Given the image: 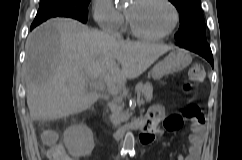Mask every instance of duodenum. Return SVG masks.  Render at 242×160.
Wrapping results in <instances>:
<instances>
[{
    "label": "duodenum",
    "mask_w": 242,
    "mask_h": 160,
    "mask_svg": "<svg viewBox=\"0 0 242 160\" xmlns=\"http://www.w3.org/2000/svg\"><path fill=\"white\" fill-rule=\"evenodd\" d=\"M147 119L144 117L137 118L135 120H132L127 126L122 127L117 132V137L123 136L127 131L129 130H141L146 124Z\"/></svg>",
    "instance_id": "410a0bca"
}]
</instances>
